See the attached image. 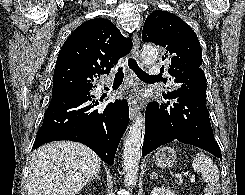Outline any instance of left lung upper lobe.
Here are the masks:
<instances>
[{"instance_id": "left-lung-upper-lobe-1", "label": "left lung upper lobe", "mask_w": 245, "mask_h": 195, "mask_svg": "<svg viewBox=\"0 0 245 195\" xmlns=\"http://www.w3.org/2000/svg\"><path fill=\"white\" fill-rule=\"evenodd\" d=\"M142 40L160 45L166 49L165 55H172L168 71L179 88L165 96L175 98L188 94L205 100L201 46L195 32L181 18L166 11L152 12L145 21Z\"/></svg>"}]
</instances>
